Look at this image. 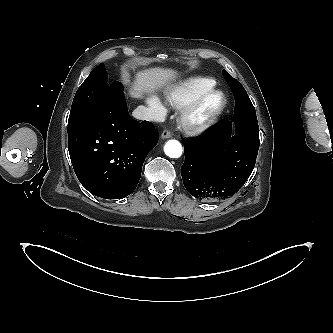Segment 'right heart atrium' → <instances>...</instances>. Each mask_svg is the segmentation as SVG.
I'll return each mask as SVG.
<instances>
[{"instance_id": "right-heart-atrium-1", "label": "right heart atrium", "mask_w": 333, "mask_h": 333, "mask_svg": "<svg viewBox=\"0 0 333 333\" xmlns=\"http://www.w3.org/2000/svg\"><path fill=\"white\" fill-rule=\"evenodd\" d=\"M147 103L155 117H161L162 115H164L165 108L158 98L152 96L148 99Z\"/></svg>"}]
</instances>
